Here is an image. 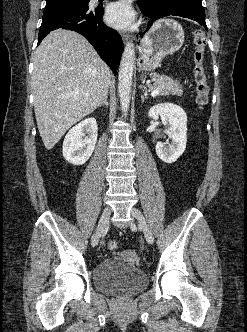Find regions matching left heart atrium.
I'll return each mask as SVG.
<instances>
[{
	"instance_id": "obj_1",
	"label": "left heart atrium",
	"mask_w": 247,
	"mask_h": 332,
	"mask_svg": "<svg viewBox=\"0 0 247 332\" xmlns=\"http://www.w3.org/2000/svg\"><path fill=\"white\" fill-rule=\"evenodd\" d=\"M105 18L107 23L118 29L129 28L133 25L135 14L125 0L111 3L106 10Z\"/></svg>"
}]
</instances>
